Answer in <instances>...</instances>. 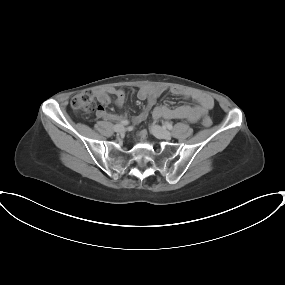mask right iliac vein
Returning <instances> with one entry per match:
<instances>
[{"label":"right iliac vein","mask_w":285,"mask_h":285,"mask_svg":"<svg viewBox=\"0 0 285 285\" xmlns=\"http://www.w3.org/2000/svg\"><path fill=\"white\" fill-rule=\"evenodd\" d=\"M114 130L117 133H123L125 131V127L123 125H121V124H116L114 126Z\"/></svg>","instance_id":"right-iliac-vein-1"}]
</instances>
